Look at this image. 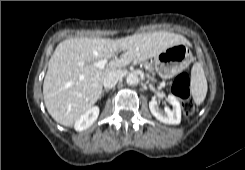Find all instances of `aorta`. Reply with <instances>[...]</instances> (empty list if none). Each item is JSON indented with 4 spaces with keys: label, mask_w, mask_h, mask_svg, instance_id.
I'll return each mask as SVG.
<instances>
[{
    "label": "aorta",
    "mask_w": 245,
    "mask_h": 170,
    "mask_svg": "<svg viewBox=\"0 0 245 170\" xmlns=\"http://www.w3.org/2000/svg\"><path fill=\"white\" fill-rule=\"evenodd\" d=\"M139 82V77L137 74L131 73L126 78V83L128 85H136Z\"/></svg>",
    "instance_id": "obj_1"
}]
</instances>
